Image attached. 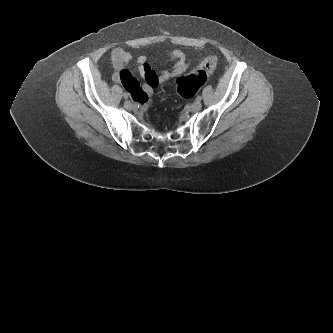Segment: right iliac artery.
I'll return each instance as SVG.
<instances>
[{"label":"right iliac artery","instance_id":"obj_1","mask_svg":"<svg viewBox=\"0 0 333 333\" xmlns=\"http://www.w3.org/2000/svg\"><path fill=\"white\" fill-rule=\"evenodd\" d=\"M124 98H128V94L127 93H124Z\"/></svg>","mask_w":333,"mask_h":333}]
</instances>
